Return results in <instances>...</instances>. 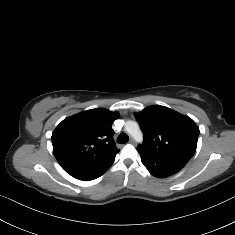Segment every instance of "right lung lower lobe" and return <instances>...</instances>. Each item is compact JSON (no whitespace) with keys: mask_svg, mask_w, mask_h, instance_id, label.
Here are the masks:
<instances>
[{"mask_svg":"<svg viewBox=\"0 0 235 235\" xmlns=\"http://www.w3.org/2000/svg\"><path fill=\"white\" fill-rule=\"evenodd\" d=\"M107 169L108 168L92 172H82V171H66V172L76 179L89 181L100 177L102 174L106 172Z\"/></svg>","mask_w":235,"mask_h":235,"instance_id":"98d812e1","label":"right lung lower lobe"}]
</instances>
